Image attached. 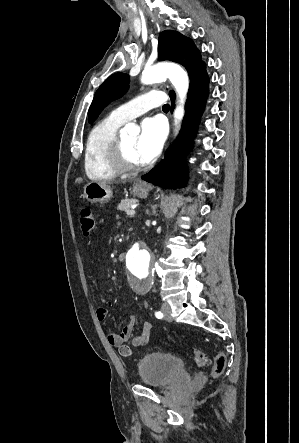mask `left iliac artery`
<instances>
[{
    "instance_id": "obj_1",
    "label": "left iliac artery",
    "mask_w": 299,
    "mask_h": 443,
    "mask_svg": "<svg viewBox=\"0 0 299 443\" xmlns=\"http://www.w3.org/2000/svg\"><path fill=\"white\" fill-rule=\"evenodd\" d=\"M155 316H156V318H158V319L163 318V313H162L161 311H157V312L155 313Z\"/></svg>"
}]
</instances>
